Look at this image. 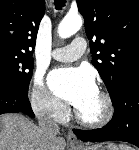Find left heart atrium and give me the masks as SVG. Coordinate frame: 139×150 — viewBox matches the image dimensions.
Returning <instances> with one entry per match:
<instances>
[{"label": "left heart atrium", "mask_w": 139, "mask_h": 150, "mask_svg": "<svg viewBox=\"0 0 139 150\" xmlns=\"http://www.w3.org/2000/svg\"><path fill=\"white\" fill-rule=\"evenodd\" d=\"M49 86L55 95L78 108L98 93L95 79L84 68H60L49 75Z\"/></svg>", "instance_id": "left-heart-atrium-1"}]
</instances>
